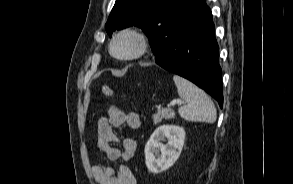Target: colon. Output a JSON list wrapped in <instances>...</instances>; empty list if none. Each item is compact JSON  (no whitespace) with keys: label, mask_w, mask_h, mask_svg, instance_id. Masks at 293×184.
<instances>
[{"label":"colon","mask_w":293,"mask_h":184,"mask_svg":"<svg viewBox=\"0 0 293 184\" xmlns=\"http://www.w3.org/2000/svg\"><path fill=\"white\" fill-rule=\"evenodd\" d=\"M101 92L104 96L112 98L115 96V91L109 87L108 85H103L101 88Z\"/></svg>","instance_id":"obj_1"}]
</instances>
